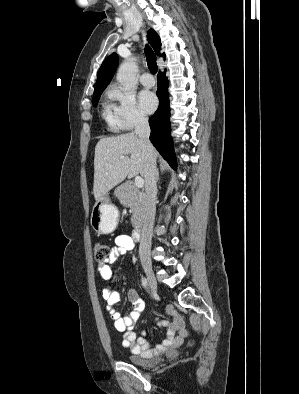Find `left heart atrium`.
I'll list each match as a JSON object with an SVG mask.
<instances>
[{
    "instance_id": "obj_1",
    "label": "left heart atrium",
    "mask_w": 299,
    "mask_h": 394,
    "mask_svg": "<svg viewBox=\"0 0 299 394\" xmlns=\"http://www.w3.org/2000/svg\"><path fill=\"white\" fill-rule=\"evenodd\" d=\"M157 104V98L152 92L144 90L139 94V105L145 113H152Z\"/></svg>"
}]
</instances>
